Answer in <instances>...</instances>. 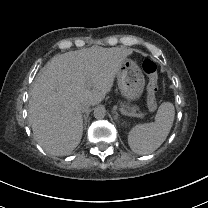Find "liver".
I'll return each mask as SVG.
<instances>
[{
    "label": "liver",
    "instance_id": "1",
    "mask_svg": "<svg viewBox=\"0 0 208 208\" xmlns=\"http://www.w3.org/2000/svg\"><path fill=\"white\" fill-rule=\"evenodd\" d=\"M132 52L91 47L53 57L35 78L29 100L28 118L38 144L54 155L74 150L83 134L79 103H100L111 90L123 60Z\"/></svg>",
    "mask_w": 208,
    "mask_h": 208
}]
</instances>
